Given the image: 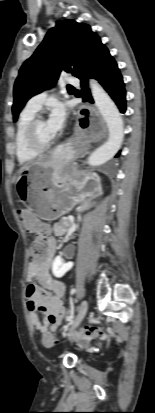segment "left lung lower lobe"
I'll list each match as a JSON object with an SVG mask.
<instances>
[{"instance_id": "1", "label": "left lung lower lobe", "mask_w": 155, "mask_h": 413, "mask_svg": "<svg viewBox=\"0 0 155 413\" xmlns=\"http://www.w3.org/2000/svg\"><path fill=\"white\" fill-rule=\"evenodd\" d=\"M93 77L99 81L104 89L109 93L115 101L121 113L126 111V92L123 83V78L116 61L110 55L109 50L104 47L97 58L92 63L89 70L79 79L83 88L82 95L84 102L93 103V98L88 88V78ZM120 156V151L116 154V158Z\"/></svg>"}]
</instances>
